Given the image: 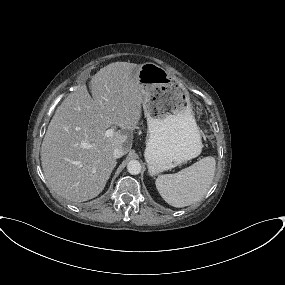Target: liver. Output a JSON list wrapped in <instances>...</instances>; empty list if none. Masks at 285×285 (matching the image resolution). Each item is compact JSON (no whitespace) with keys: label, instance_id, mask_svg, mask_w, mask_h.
Returning a JSON list of instances; mask_svg holds the SVG:
<instances>
[{"label":"liver","instance_id":"1","mask_svg":"<svg viewBox=\"0 0 285 285\" xmlns=\"http://www.w3.org/2000/svg\"><path fill=\"white\" fill-rule=\"evenodd\" d=\"M141 65L115 62L69 94L55 111L41 146L45 178L59 196L73 202L97 197L116 166L114 149L127 153L141 118L144 93L136 76ZM111 126L121 130L111 137ZM91 144L84 148L83 144Z\"/></svg>","mask_w":285,"mask_h":285}]
</instances>
